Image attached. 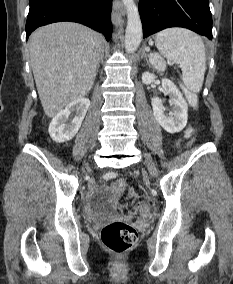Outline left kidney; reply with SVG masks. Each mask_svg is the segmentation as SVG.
Returning a JSON list of instances; mask_svg holds the SVG:
<instances>
[{"mask_svg": "<svg viewBox=\"0 0 233 284\" xmlns=\"http://www.w3.org/2000/svg\"><path fill=\"white\" fill-rule=\"evenodd\" d=\"M156 76L145 72L142 75L144 84L149 85L155 80ZM162 87L167 95L170 96L172 111L166 113L162 100L158 97L151 99L153 115L157 122L169 133H177L183 130L188 119V104L176 85L169 79L161 80Z\"/></svg>", "mask_w": 233, "mask_h": 284, "instance_id": "left-kidney-1", "label": "left kidney"}]
</instances>
